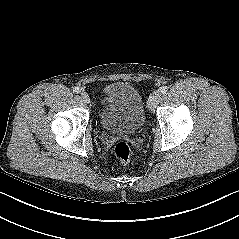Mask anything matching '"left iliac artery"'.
Wrapping results in <instances>:
<instances>
[{"mask_svg":"<svg viewBox=\"0 0 239 239\" xmlns=\"http://www.w3.org/2000/svg\"><path fill=\"white\" fill-rule=\"evenodd\" d=\"M160 91H161V93H166L167 91H168V86H162L161 88H160Z\"/></svg>","mask_w":239,"mask_h":239,"instance_id":"left-iliac-artery-1","label":"left iliac artery"}]
</instances>
